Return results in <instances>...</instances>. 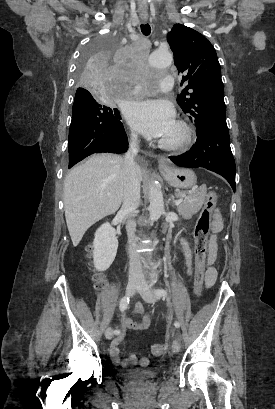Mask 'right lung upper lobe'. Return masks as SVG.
Listing matches in <instances>:
<instances>
[{
	"mask_svg": "<svg viewBox=\"0 0 275 409\" xmlns=\"http://www.w3.org/2000/svg\"><path fill=\"white\" fill-rule=\"evenodd\" d=\"M77 91L81 92V91H86V90H78V89H77Z\"/></svg>",
	"mask_w": 275,
	"mask_h": 409,
	"instance_id": "obj_1",
	"label": "right lung upper lobe"
}]
</instances>
